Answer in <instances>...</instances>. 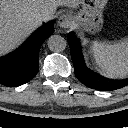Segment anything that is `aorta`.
I'll return each instance as SVG.
<instances>
[{
	"mask_svg": "<svg viewBox=\"0 0 128 128\" xmlns=\"http://www.w3.org/2000/svg\"><path fill=\"white\" fill-rule=\"evenodd\" d=\"M48 48L53 52H61L66 48L67 42L60 35H51L47 40Z\"/></svg>",
	"mask_w": 128,
	"mask_h": 128,
	"instance_id": "1",
	"label": "aorta"
}]
</instances>
